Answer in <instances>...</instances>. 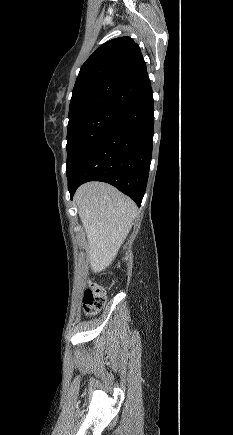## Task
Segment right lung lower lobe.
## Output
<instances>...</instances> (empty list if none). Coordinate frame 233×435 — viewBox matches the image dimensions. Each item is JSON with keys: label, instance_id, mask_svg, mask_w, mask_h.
I'll return each instance as SVG.
<instances>
[{"label": "right lung lower lobe", "instance_id": "obj_1", "mask_svg": "<svg viewBox=\"0 0 233 435\" xmlns=\"http://www.w3.org/2000/svg\"><path fill=\"white\" fill-rule=\"evenodd\" d=\"M153 111L150 89L121 114L67 176L71 198L82 183L102 181L115 186L140 206L152 158Z\"/></svg>", "mask_w": 233, "mask_h": 435}]
</instances>
